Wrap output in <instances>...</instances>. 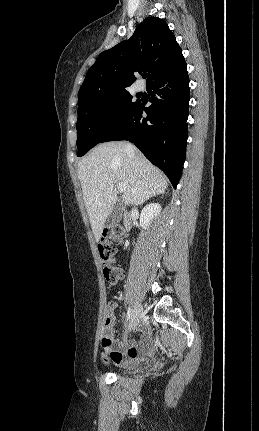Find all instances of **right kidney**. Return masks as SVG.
Wrapping results in <instances>:
<instances>
[{"mask_svg": "<svg viewBox=\"0 0 259 431\" xmlns=\"http://www.w3.org/2000/svg\"><path fill=\"white\" fill-rule=\"evenodd\" d=\"M161 211V205L158 203H151L146 205L140 214V225L146 229L152 222L153 218L158 216Z\"/></svg>", "mask_w": 259, "mask_h": 431, "instance_id": "right-kidney-1", "label": "right kidney"}]
</instances>
